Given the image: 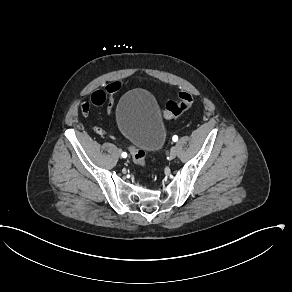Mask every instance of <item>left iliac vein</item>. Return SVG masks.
<instances>
[{
    "label": "left iliac vein",
    "mask_w": 292,
    "mask_h": 292,
    "mask_svg": "<svg viewBox=\"0 0 292 292\" xmlns=\"http://www.w3.org/2000/svg\"><path fill=\"white\" fill-rule=\"evenodd\" d=\"M177 155V148L176 147H172L170 150V158L174 159Z\"/></svg>",
    "instance_id": "left-iliac-vein-1"
}]
</instances>
